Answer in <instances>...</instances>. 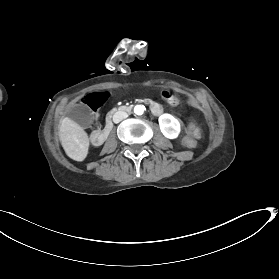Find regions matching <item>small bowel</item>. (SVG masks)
<instances>
[{
    "label": "small bowel",
    "instance_id": "c3829d8e",
    "mask_svg": "<svg viewBox=\"0 0 279 279\" xmlns=\"http://www.w3.org/2000/svg\"><path fill=\"white\" fill-rule=\"evenodd\" d=\"M162 97L165 99V101H167L170 105H177V103H178V98L174 95V94H172V93H170L169 91H167V90H164L163 92H162ZM159 108H160V105H159Z\"/></svg>",
    "mask_w": 279,
    "mask_h": 279
}]
</instances>
